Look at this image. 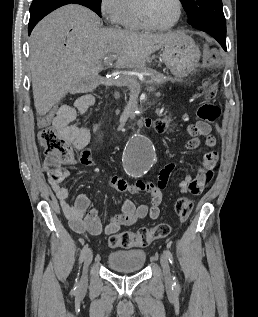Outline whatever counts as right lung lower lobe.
Masks as SVG:
<instances>
[{
	"label": "right lung lower lobe",
	"instance_id": "1",
	"mask_svg": "<svg viewBox=\"0 0 258 317\" xmlns=\"http://www.w3.org/2000/svg\"><path fill=\"white\" fill-rule=\"evenodd\" d=\"M70 3L86 6L101 16V11L97 9L91 0H33L30 7L28 34L30 35L34 26L47 14Z\"/></svg>",
	"mask_w": 258,
	"mask_h": 317
}]
</instances>
